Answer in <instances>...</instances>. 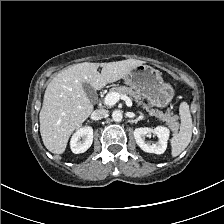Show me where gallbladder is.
Segmentation results:
<instances>
[{
	"label": "gallbladder",
	"instance_id": "obj_1",
	"mask_svg": "<svg viewBox=\"0 0 224 224\" xmlns=\"http://www.w3.org/2000/svg\"><path fill=\"white\" fill-rule=\"evenodd\" d=\"M83 89L87 95V97L91 100L95 96V90L87 83L83 84Z\"/></svg>",
	"mask_w": 224,
	"mask_h": 224
}]
</instances>
